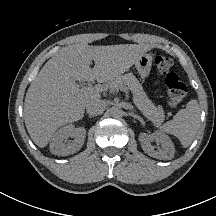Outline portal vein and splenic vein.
I'll return each instance as SVG.
<instances>
[{"mask_svg":"<svg viewBox=\"0 0 216 216\" xmlns=\"http://www.w3.org/2000/svg\"><path fill=\"white\" fill-rule=\"evenodd\" d=\"M119 89L123 92L128 93V89L125 86H120ZM98 90L96 86H84L81 88L82 93H93L94 91Z\"/></svg>","mask_w":216,"mask_h":216,"instance_id":"obj_1","label":"portal vein and splenic vein"}]
</instances>
